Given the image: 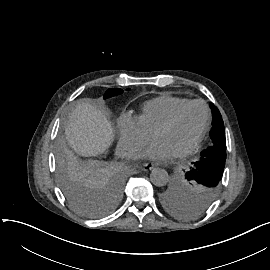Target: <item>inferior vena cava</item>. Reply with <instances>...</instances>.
Wrapping results in <instances>:
<instances>
[{"mask_svg":"<svg viewBox=\"0 0 270 270\" xmlns=\"http://www.w3.org/2000/svg\"><path fill=\"white\" fill-rule=\"evenodd\" d=\"M115 155L120 158H126V159H136L137 154L125 143L119 141L116 149H115Z\"/></svg>","mask_w":270,"mask_h":270,"instance_id":"1","label":"inferior vena cava"}]
</instances>
